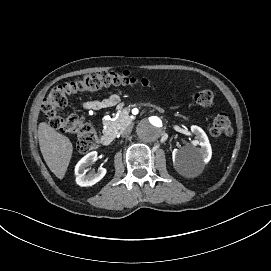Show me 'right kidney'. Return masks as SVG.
<instances>
[{
	"instance_id": "ca27d5eb",
	"label": "right kidney",
	"mask_w": 271,
	"mask_h": 271,
	"mask_svg": "<svg viewBox=\"0 0 271 271\" xmlns=\"http://www.w3.org/2000/svg\"><path fill=\"white\" fill-rule=\"evenodd\" d=\"M97 160V152L92 151L84 156L75 166L76 183L79 186H92L99 182L106 174V169L100 167L97 172L91 171L88 174L87 167Z\"/></svg>"
}]
</instances>
